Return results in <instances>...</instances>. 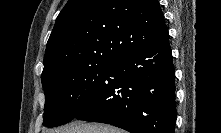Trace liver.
Listing matches in <instances>:
<instances>
[{"mask_svg":"<svg viewBox=\"0 0 221 133\" xmlns=\"http://www.w3.org/2000/svg\"><path fill=\"white\" fill-rule=\"evenodd\" d=\"M53 133H124L123 130L117 129L110 125L100 123H84L75 121L67 126L53 130Z\"/></svg>","mask_w":221,"mask_h":133,"instance_id":"6515ba94","label":"liver"}]
</instances>
